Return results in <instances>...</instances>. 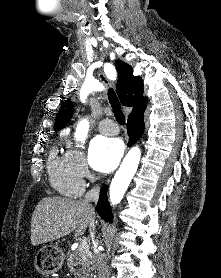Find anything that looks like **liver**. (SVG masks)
Here are the masks:
<instances>
[{
    "label": "liver",
    "instance_id": "liver-1",
    "mask_svg": "<svg viewBox=\"0 0 221 278\" xmlns=\"http://www.w3.org/2000/svg\"><path fill=\"white\" fill-rule=\"evenodd\" d=\"M94 217L93 207L83 200L64 197H44L31 218V244L37 246L64 237L75 230L84 234Z\"/></svg>",
    "mask_w": 221,
    "mask_h": 278
}]
</instances>
